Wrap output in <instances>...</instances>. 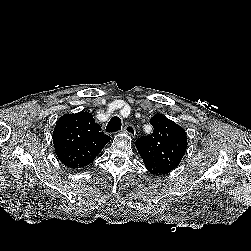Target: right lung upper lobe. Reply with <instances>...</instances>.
Returning <instances> with one entry per match:
<instances>
[{
  "mask_svg": "<svg viewBox=\"0 0 251 251\" xmlns=\"http://www.w3.org/2000/svg\"><path fill=\"white\" fill-rule=\"evenodd\" d=\"M88 112L65 114L59 118L53 132L58 159L69 168H82L94 161L110 141Z\"/></svg>",
  "mask_w": 251,
  "mask_h": 251,
  "instance_id": "cb5924a9",
  "label": "right lung upper lobe"
}]
</instances>
